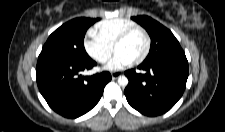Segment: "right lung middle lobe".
<instances>
[{
  "mask_svg": "<svg viewBox=\"0 0 225 132\" xmlns=\"http://www.w3.org/2000/svg\"><path fill=\"white\" fill-rule=\"evenodd\" d=\"M98 20V18H75L63 24L49 36L40 55L79 61L89 59L84 48V36L87 29Z\"/></svg>",
  "mask_w": 225,
  "mask_h": 132,
  "instance_id": "right-lung-middle-lobe-1",
  "label": "right lung middle lobe"
}]
</instances>
